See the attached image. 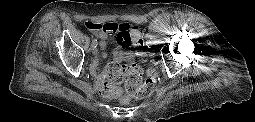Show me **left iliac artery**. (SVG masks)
<instances>
[{"label": "left iliac artery", "instance_id": "left-iliac-artery-1", "mask_svg": "<svg viewBox=\"0 0 255 122\" xmlns=\"http://www.w3.org/2000/svg\"><path fill=\"white\" fill-rule=\"evenodd\" d=\"M152 44H153V42H152L151 40H147L146 45H147L148 47H151Z\"/></svg>", "mask_w": 255, "mask_h": 122}]
</instances>
